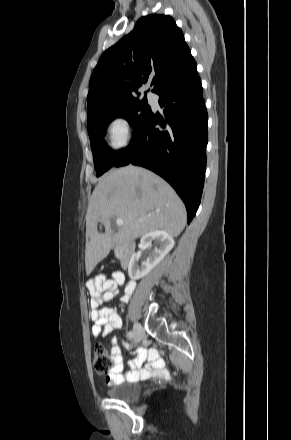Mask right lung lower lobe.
Returning a JSON list of instances; mask_svg holds the SVG:
<instances>
[{
	"label": "right lung lower lobe",
	"mask_w": 291,
	"mask_h": 440,
	"mask_svg": "<svg viewBox=\"0 0 291 440\" xmlns=\"http://www.w3.org/2000/svg\"><path fill=\"white\" fill-rule=\"evenodd\" d=\"M202 92L197 66L160 87L155 93L163 116L150 110L114 164L139 165L163 177L185 203L188 223L199 207L206 170L208 115Z\"/></svg>",
	"instance_id": "right-lung-lower-lobe-1"
}]
</instances>
